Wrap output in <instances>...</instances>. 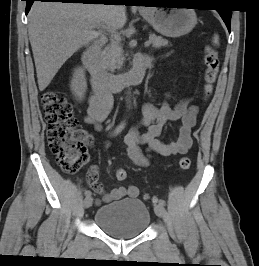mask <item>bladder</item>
<instances>
[{"mask_svg": "<svg viewBox=\"0 0 259 266\" xmlns=\"http://www.w3.org/2000/svg\"><path fill=\"white\" fill-rule=\"evenodd\" d=\"M95 224L108 235L129 239L143 233L150 223L148 207L139 199H124L100 206Z\"/></svg>", "mask_w": 259, "mask_h": 266, "instance_id": "1", "label": "bladder"}]
</instances>
